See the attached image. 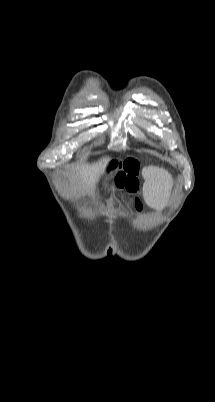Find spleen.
Instances as JSON below:
<instances>
[{
  "mask_svg": "<svg viewBox=\"0 0 215 402\" xmlns=\"http://www.w3.org/2000/svg\"><path fill=\"white\" fill-rule=\"evenodd\" d=\"M143 176L146 179L144 195L146 196V203L150 210H157L159 207L160 198L166 195L165 187L168 185L169 180L162 171L153 168H144ZM156 188V185H161ZM160 208H166V203H160Z\"/></svg>",
  "mask_w": 215,
  "mask_h": 402,
  "instance_id": "1",
  "label": "spleen"
}]
</instances>
